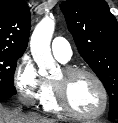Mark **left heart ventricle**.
<instances>
[{"label": "left heart ventricle", "instance_id": "left-heart-ventricle-1", "mask_svg": "<svg viewBox=\"0 0 118 123\" xmlns=\"http://www.w3.org/2000/svg\"><path fill=\"white\" fill-rule=\"evenodd\" d=\"M52 82L65 85L66 97L71 107L85 115L97 113L102 106V95L99 87L92 78L87 75L75 76L66 80L60 71Z\"/></svg>", "mask_w": 118, "mask_h": 123}]
</instances>
